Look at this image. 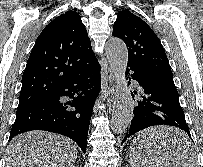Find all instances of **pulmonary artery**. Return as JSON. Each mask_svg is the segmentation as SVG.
I'll return each instance as SVG.
<instances>
[{"label":"pulmonary artery","instance_id":"obj_1","mask_svg":"<svg viewBox=\"0 0 203 167\" xmlns=\"http://www.w3.org/2000/svg\"><path fill=\"white\" fill-rule=\"evenodd\" d=\"M133 83H134L135 85H138V83H137L136 81H133Z\"/></svg>","mask_w":203,"mask_h":167}]
</instances>
